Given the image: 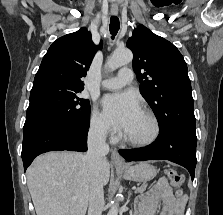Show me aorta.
I'll use <instances>...</instances> for the list:
<instances>
[{
  "label": "aorta",
  "mask_w": 223,
  "mask_h": 215,
  "mask_svg": "<svg viewBox=\"0 0 223 215\" xmlns=\"http://www.w3.org/2000/svg\"><path fill=\"white\" fill-rule=\"evenodd\" d=\"M133 54L130 50H115L112 56L108 58V62H106V68L109 72H114L117 68H121V66H125V64H129L132 62ZM118 199H115V203H112L107 215H118Z\"/></svg>",
  "instance_id": "1"
}]
</instances>
